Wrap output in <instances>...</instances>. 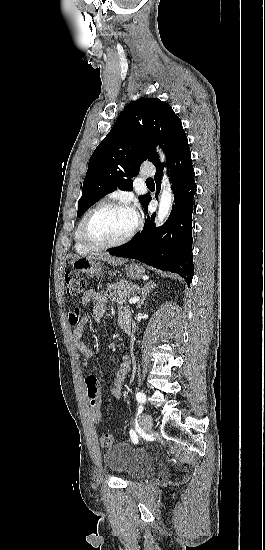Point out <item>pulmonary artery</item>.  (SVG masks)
<instances>
[{
	"mask_svg": "<svg viewBox=\"0 0 265 550\" xmlns=\"http://www.w3.org/2000/svg\"><path fill=\"white\" fill-rule=\"evenodd\" d=\"M153 174H154V170H146L145 169L144 171H142V175L145 176V177L151 176Z\"/></svg>",
	"mask_w": 265,
	"mask_h": 550,
	"instance_id": "pulmonary-artery-1",
	"label": "pulmonary artery"
}]
</instances>
